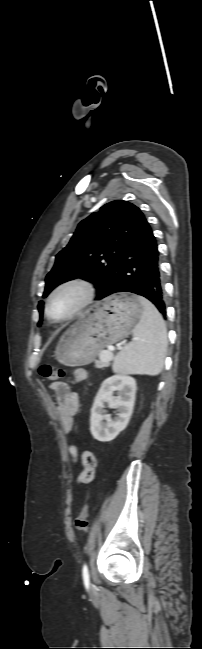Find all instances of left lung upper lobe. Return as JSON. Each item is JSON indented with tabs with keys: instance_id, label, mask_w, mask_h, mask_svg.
<instances>
[{
	"instance_id": "5c2ea615",
	"label": "left lung upper lobe",
	"mask_w": 202,
	"mask_h": 649,
	"mask_svg": "<svg viewBox=\"0 0 202 649\" xmlns=\"http://www.w3.org/2000/svg\"><path fill=\"white\" fill-rule=\"evenodd\" d=\"M143 219L138 207L128 201L115 200L81 221L69 244L56 255L54 267L46 276L43 297L57 285L78 277L98 282L102 293L114 274L126 242ZM38 309L42 317V301ZM40 323L41 320L38 325Z\"/></svg>"
}]
</instances>
